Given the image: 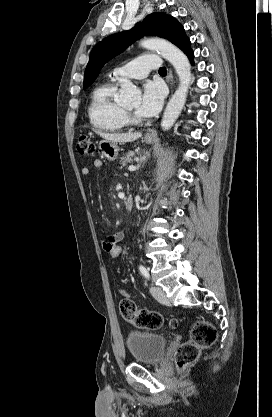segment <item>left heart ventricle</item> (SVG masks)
Here are the masks:
<instances>
[{
	"mask_svg": "<svg viewBox=\"0 0 272 417\" xmlns=\"http://www.w3.org/2000/svg\"><path fill=\"white\" fill-rule=\"evenodd\" d=\"M135 107L134 106H128L127 107V109H129V110H132V109H134Z\"/></svg>",
	"mask_w": 272,
	"mask_h": 417,
	"instance_id": "left-heart-ventricle-1",
	"label": "left heart ventricle"
}]
</instances>
